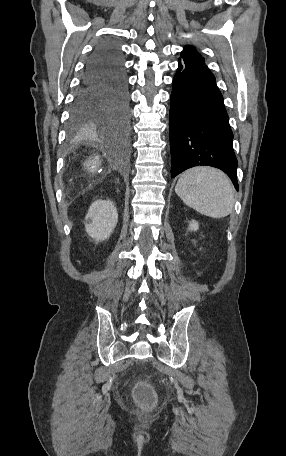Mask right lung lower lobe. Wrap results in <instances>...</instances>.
I'll return each instance as SVG.
<instances>
[{
  "mask_svg": "<svg viewBox=\"0 0 286 456\" xmlns=\"http://www.w3.org/2000/svg\"><path fill=\"white\" fill-rule=\"evenodd\" d=\"M123 124L122 133L115 126ZM114 131L121 138L130 129L129 92L121 60L114 48H97L89 58L78 89L69 123L71 133L93 126Z\"/></svg>",
  "mask_w": 286,
  "mask_h": 456,
  "instance_id": "right-lung-lower-lobe-1",
  "label": "right lung lower lobe"
}]
</instances>
